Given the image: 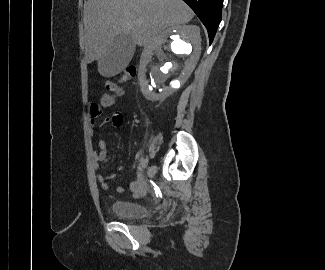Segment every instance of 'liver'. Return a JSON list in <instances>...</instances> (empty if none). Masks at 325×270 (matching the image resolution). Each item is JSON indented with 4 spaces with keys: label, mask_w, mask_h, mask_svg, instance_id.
<instances>
[{
    "label": "liver",
    "mask_w": 325,
    "mask_h": 270,
    "mask_svg": "<svg viewBox=\"0 0 325 270\" xmlns=\"http://www.w3.org/2000/svg\"><path fill=\"white\" fill-rule=\"evenodd\" d=\"M194 16L182 0H88L84 6L85 60L99 61L119 35L135 45L154 47L165 30L188 23ZM104 76V75H103Z\"/></svg>",
    "instance_id": "6515ba94"
}]
</instances>
